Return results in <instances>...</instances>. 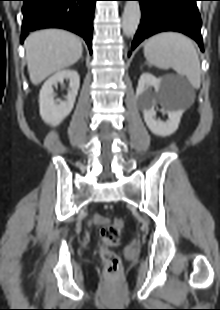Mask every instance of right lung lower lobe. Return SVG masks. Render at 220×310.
Returning a JSON list of instances; mask_svg holds the SVG:
<instances>
[{"mask_svg":"<svg viewBox=\"0 0 220 310\" xmlns=\"http://www.w3.org/2000/svg\"><path fill=\"white\" fill-rule=\"evenodd\" d=\"M22 1V43L31 31L63 28L83 37L92 53L93 14L97 0Z\"/></svg>","mask_w":220,"mask_h":310,"instance_id":"98d812e1","label":"right lung lower lobe"}]
</instances>
